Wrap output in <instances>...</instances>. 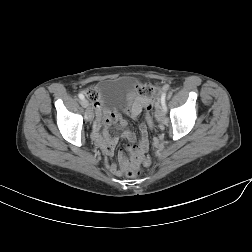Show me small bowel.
Returning <instances> with one entry per match:
<instances>
[{"label":"small bowel","mask_w":252,"mask_h":252,"mask_svg":"<svg viewBox=\"0 0 252 252\" xmlns=\"http://www.w3.org/2000/svg\"><path fill=\"white\" fill-rule=\"evenodd\" d=\"M163 88L166 89L167 86ZM150 104H153L151 98L132 94L129 96L125 111L131 118L136 119L142 110L146 109ZM94 108L97 123L93 128L95 134H92V138L102 148L106 157L109 158L113 155V149L120 137L128 141V154L120 151L118 153V164L109 163V170L116 175H122L131 165L143 163L148 166L150 160L145 158V154L149 147L148 128L151 125H147L145 122L140 124V139L137 142L136 135L128 128V121L121 117L117 109L104 108L101 102H97ZM111 126L115 127V134H111Z\"/></svg>","instance_id":"1"}]
</instances>
